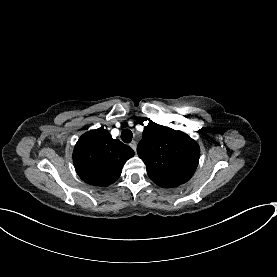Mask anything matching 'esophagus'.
<instances>
[{"label":"esophagus","mask_w":277,"mask_h":277,"mask_svg":"<svg viewBox=\"0 0 277 277\" xmlns=\"http://www.w3.org/2000/svg\"><path fill=\"white\" fill-rule=\"evenodd\" d=\"M129 145H130V147H132V149H133L134 151H136V147H137L136 141H134V140L131 141Z\"/></svg>","instance_id":"34e87169"}]
</instances>
